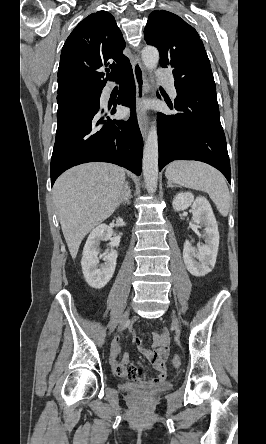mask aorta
<instances>
[{
  "mask_svg": "<svg viewBox=\"0 0 266 444\" xmlns=\"http://www.w3.org/2000/svg\"><path fill=\"white\" fill-rule=\"evenodd\" d=\"M142 61L149 71H153L159 62L156 47L146 46L142 50ZM143 177L148 193L153 194L158 183V135L156 125H152L143 150Z\"/></svg>",
  "mask_w": 266,
  "mask_h": 444,
  "instance_id": "aorta-1",
  "label": "aorta"
}]
</instances>
